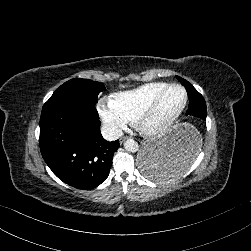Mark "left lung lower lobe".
Masks as SVG:
<instances>
[{"mask_svg":"<svg viewBox=\"0 0 251 251\" xmlns=\"http://www.w3.org/2000/svg\"><path fill=\"white\" fill-rule=\"evenodd\" d=\"M189 108L186 115L191 120L180 135L148 144L138 160L139 172L149 181L163 183L184 172L194 161L199 151V124L206 120L207 109L203 98H195L188 92Z\"/></svg>","mask_w":251,"mask_h":251,"instance_id":"0a47b994","label":"left lung lower lobe"}]
</instances>
